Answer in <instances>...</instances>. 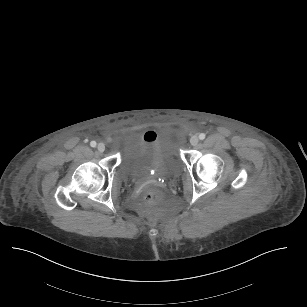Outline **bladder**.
<instances>
[{"instance_id":"1","label":"bladder","mask_w":307,"mask_h":307,"mask_svg":"<svg viewBox=\"0 0 307 307\" xmlns=\"http://www.w3.org/2000/svg\"><path fill=\"white\" fill-rule=\"evenodd\" d=\"M180 167L181 162L173 146L157 139L129 145L121 154V174L134 181L147 179L152 171L175 175Z\"/></svg>"}]
</instances>
